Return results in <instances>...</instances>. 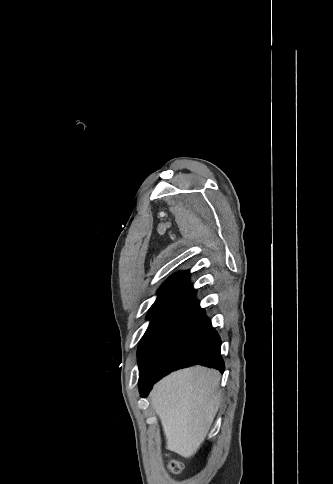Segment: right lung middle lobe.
I'll use <instances>...</instances> for the list:
<instances>
[{
    "label": "right lung middle lobe",
    "instance_id": "right-lung-middle-lobe-1",
    "mask_svg": "<svg viewBox=\"0 0 333 484\" xmlns=\"http://www.w3.org/2000/svg\"><path fill=\"white\" fill-rule=\"evenodd\" d=\"M159 304H155L154 306H152L148 312V315L147 317L148 318H151L156 310V306H158ZM146 336H147V331L146 333L144 334V336L142 337L141 341H140V344H139V347H138V360L140 361V359L142 358V355H143V351H144V345H145V341H146Z\"/></svg>",
    "mask_w": 333,
    "mask_h": 484
}]
</instances>
